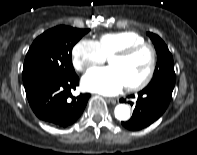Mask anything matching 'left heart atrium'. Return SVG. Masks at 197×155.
Instances as JSON below:
<instances>
[{
    "mask_svg": "<svg viewBox=\"0 0 197 155\" xmlns=\"http://www.w3.org/2000/svg\"><path fill=\"white\" fill-rule=\"evenodd\" d=\"M84 89L103 95L119 93L126 83L120 72L112 67L94 68L82 78Z\"/></svg>",
    "mask_w": 197,
    "mask_h": 155,
    "instance_id": "39dd6f15",
    "label": "left heart atrium"
}]
</instances>
